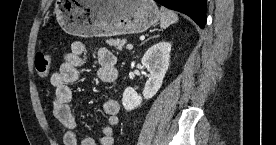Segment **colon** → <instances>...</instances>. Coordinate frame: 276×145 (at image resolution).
I'll return each instance as SVG.
<instances>
[{
    "label": "colon",
    "mask_w": 276,
    "mask_h": 145,
    "mask_svg": "<svg viewBox=\"0 0 276 145\" xmlns=\"http://www.w3.org/2000/svg\"><path fill=\"white\" fill-rule=\"evenodd\" d=\"M51 57L48 53L39 52L35 58V67L39 77L46 78L51 70Z\"/></svg>",
    "instance_id": "5ec220e1"
}]
</instances>
